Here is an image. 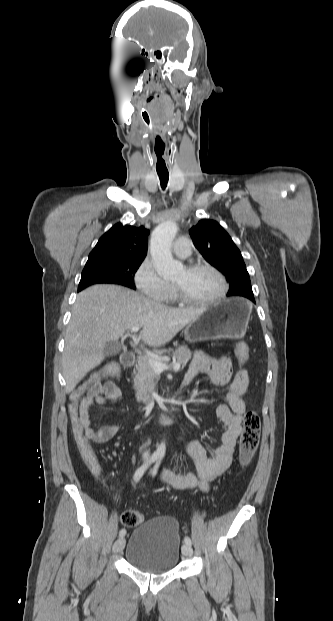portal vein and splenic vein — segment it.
I'll use <instances>...</instances> for the list:
<instances>
[{"label": "portal vein and splenic vein", "instance_id": "portal-vein-and-splenic-vein-1", "mask_svg": "<svg viewBox=\"0 0 333 621\" xmlns=\"http://www.w3.org/2000/svg\"><path fill=\"white\" fill-rule=\"evenodd\" d=\"M131 332H138L139 331V327L138 326H134L131 329ZM149 362L151 364V366L154 368L155 372L160 373L163 370H173L175 372L179 371L181 369V365L179 363H174L172 365H166L158 360H154V359H149Z\"/></svg>", "mask_w": 333, "mask_h": 621}]
</instances>
